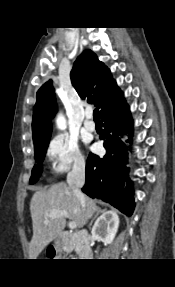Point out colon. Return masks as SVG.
Here are the masks:
<instances>
[{
	"label": "colon",
	"instance_id": "5ec220e1",
	"mask_svg": "<svg viewBox=\"0 0 175 287\" xmlns=\"http://www.w3.org/2000/svg\"><path fill=\"white\" fill-rule=\"evenodd\" d=\"M48 254L50 257H54L56 255V250L54 248H50L48 250Z\"/></svg>",
	"mask_w": 175,
	"mask_h": 287
}]
</instances>
